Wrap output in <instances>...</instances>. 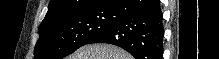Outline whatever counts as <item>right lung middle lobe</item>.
I'll return each mask as SVG.
<instances>
[{
    "label": "right lung middle lobe",
    "mask_w": 219,
    "mask_h": 59,
    "mask_svg": "<svg viewBox=\"0 0 219 59\" xmlns=\"http://www.w3.org/2000/svg\"><path fill=\"white\" fill-rule=\"evenodd\" d=\"M115 21L113 9L65 16L42 23L34 59H62L88 44Z\"/></svg>",
    "instance_id": "1"
}]
</instances>
